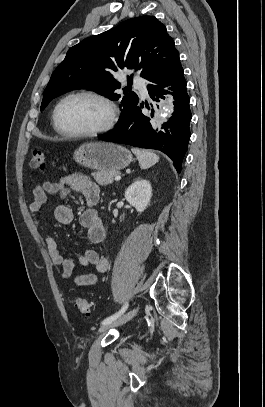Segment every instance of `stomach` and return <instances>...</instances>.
<instances>
[{"label": "stomach", "mask_w": 265, "mask_h": 407, "mask_svg": "<svg viewBox=\"0 0 265 407\" xmlns=\"http://www.w3.org/2000/svg\"><path fill=\"white\" fill-rule=\"evenodd\" d=\"M73 157L79 165L98 171H118L132 162L128 149L109 142L85 143L75 150Z\"/></svg>", "instance_id": "1"}]
</instances>
